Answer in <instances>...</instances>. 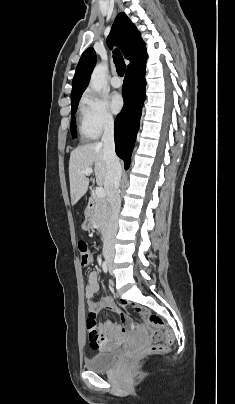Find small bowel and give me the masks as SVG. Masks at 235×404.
<instances>
[{
	"instance_id": "small-bowel-1",
	"label": "small bowel",
	"mask_w": 235,
	"mask_h": 404,
	"mask_svg": "<svg viewBox=\"0 0 235 404\" xmlns=\"http://www.w3.org/2000/svg\"><path fill=\"white\" fill-rule=\"evenodd\" d=\"M99 293L98 273L92 271L87 278V285L85 288L86 297L91 299ZM126 305V302H123ZM89 317L95 319L96 315L101 310H107L110 312H116L120 315L122 323H115L112 321H105L96 325V332L101 340L99 344L91 342L93 348H99L106 346V343L111 340L113 345H120L125 337L131 333V321L129 315L123 310L119 309L115 304L113 298L109 295H103L98 301L89 300L87 303Z\"/></svg>"
}]
</instances>
